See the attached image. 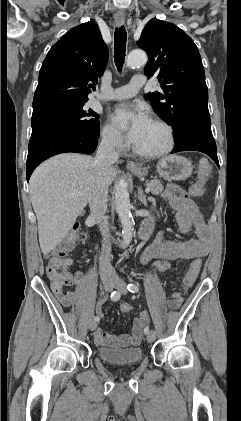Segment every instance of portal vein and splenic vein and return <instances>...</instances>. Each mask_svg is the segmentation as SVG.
<instances>
[{"label": "portal vein and splenic vein", "instance_id": "18ae733b", "mask_svg": "<svg viewBox=\"0 0 241 421\" xmlns=\"http://www.w3.org/2000/svg\"><path fill=\"white\" fill-rule=\"evenodd\" d=\"M146 192L147 193L150 192V188L149 187L146 188ZM79 196H81V192H74V193H72V194L69 195V197H79Z\"/></svg>", "mask_w": 241, "mask_h": 421}]
</instances>
